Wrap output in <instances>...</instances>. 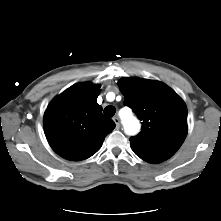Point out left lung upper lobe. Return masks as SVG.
I'll return each instance as SVG.
<instances>
[{"instance_id":"obj_1","label":"left lung upper lobe","mask_w":221,"mask_h":221,"mask_svg":"<svg viewBox=\"0 0 221 221\" xmlns=\"http://www.w3.org/2000/svg\"><path fill=\"white\" fill-rule=\"evenodd\" d=\"M125 105L142 120V131L130 139L133 152L149 163H160L180 148L187 134V108L166 84L141 78L118 81Z\"/></svg>"}]
</instances>
